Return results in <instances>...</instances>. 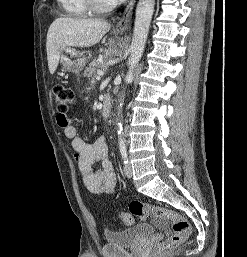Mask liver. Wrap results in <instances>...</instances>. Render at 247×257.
<instances>
[{"label":"liver","instance_id":"6515ba94","mask_svg":"<svg viewBox=\"0 0 247 257\" xmlns=\"http://www.w3.org/2000/svg\"><path fill=\"white\" fill-rule=\"evenodd\" d=\"M110 23L99 19L60 17L50 25L46 50L51 74L57 69L61 52L67 47H90L110 30Z\"/></svg>","mask_w":247,"mask_h":257}]
</instances>
